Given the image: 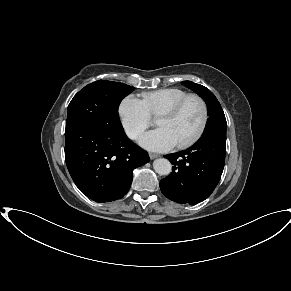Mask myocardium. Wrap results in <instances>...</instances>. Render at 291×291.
I'll return each mask as SVG.
<instances>
[{
	"label": "myocardium",
	"instance_id": "1",
	"mask_svg": "<svg viewBox=\"0 0 291 291\" xmlns=\"http://www.w3.org/2000/svg\"><path fill=\"white\" fill-rule=\"evenodd\" d=\"M190 99H197L201 103L202 108H203V119L198 131L191 138H189L188 140L182 143L176 144V147L179 149H185V148L190 147L191 145L195 144L204 134L206 127L208 125V120H209V108H208L207 102L204 100V98H202L198 94H188L187 96L179 100L176 104H174L172 107H170L169 109H167L166 111H164L158 116V119L176 117L179 114V112L182 110L184 105Z\"/></svg>",
	"mask_w": 291,
	"mask_h": 291
}]
</instances>
